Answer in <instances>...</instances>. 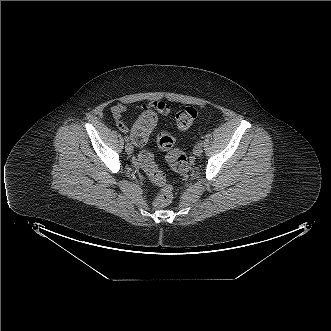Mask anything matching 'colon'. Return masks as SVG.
<instances>
[{"instance_id":"colon-1","label":"colon","mask_w":331,"mask_h":331,"mask_svg":"<svg viewBox=\"0 0 331 331\" xmlns=\"http://www.w3.org/2000/svg\"><path fill=\"white\" fill-rule=\"evenodd\" d=\"M199 116V110L186 106L176 114V125L179 129L189 128ZM158 120L157 113L151 109H143L134 124L132 141L136 145H143L147 142L151 130ZM158 147L167 154L168 163L175 171L181 172L187 169L188 160L186 155L176 147L174 137L168 132H162L157 137ZM141 164L146 175L160 188L154 200L156 207H165L170 204L173 198L171 187L166 183L162 172L155 164L150 154H143Z\"/></svg>"}]
</instances>
